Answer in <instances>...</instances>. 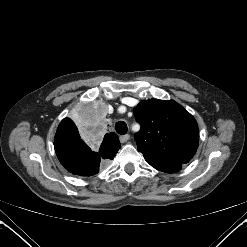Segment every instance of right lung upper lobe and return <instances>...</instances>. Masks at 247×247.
I'll return each mask as SVG.
<instances>
[{"label": "right lung upper lobe", "instance_id": "cb5924a9", "mask_svg": "<svg viewBox=\"0 0 247 247\" xmlns=\"http://www.w3.org/2000/svg\"><path fill=\"white\" fill-rule=\"evenodd\" d=\"M57 134H71L75 136H80L76 125L69 118H65L62 120V122L60 123L57 129ZM119 148H120V143L118 136L115 133H107L104 136L99 151L102 152L103 154H107L106 156L108 157L109 155L116 152Z\"/></svg>", "mask_w": 247, "mask_h": 247}]
</instances>
